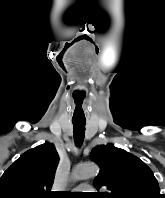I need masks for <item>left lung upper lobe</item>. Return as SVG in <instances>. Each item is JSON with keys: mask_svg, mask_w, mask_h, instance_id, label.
I'll return each instance as SVG.
<instances>
[{"mask_svg": "<svg viewBox=\"0 0 165 198\" xmlns=\"http://www.w3.org/2000/svg\"><path fill=\"white\" fill-rule=\"evenodd\" d=\"M90 159L100 167L94 185L101 198H163L151 169L136 156L112 144L92 149Z\"/></svg>", "mask_w": 165, "mask_h": 198, "instance_id": "5c2ea615", "label": "left lung upper lobe"}]
</instances>
